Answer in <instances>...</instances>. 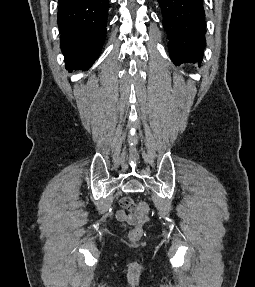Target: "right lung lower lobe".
<instances>
[{"mask_svg": "<svg viewBox=\"0 0 255 287\" xmlns=\"http://www.w3.org/2000/svg\"><path fill=\"white\" fill-rule=\"evenodd\" d=\"M57 22L66 68L88 69L106 37L109 0H58Z\"/></svg>", "mask_w": 255, "mask_h": 287, "instance_id": "1", "label": "right lung lower lobe"}]
</instances>
